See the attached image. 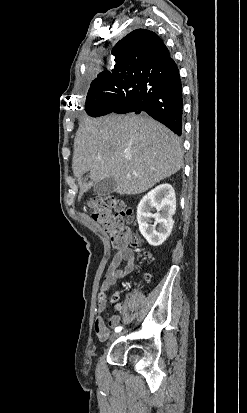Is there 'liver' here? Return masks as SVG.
<instances>
[{
	"mask_svg": "<svg viewBox=\"0 0 247 413\" xmlns=\"http://www.w3.org/2000/svg\"><path fill=\"white\" fill-rule=\"evenodd\" d=\"M179 136L148 114L84 118L74 138L72 168L78 200L95 182L114 176L119 194H139L182 166ZM90 170L91 180L83 174Z\"/></svg>",
	"mask_w": 247,
	"mask_h": 413,
	"instance_id": "1",
	"label": "liver"
}]
</instances>
